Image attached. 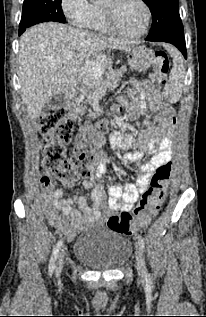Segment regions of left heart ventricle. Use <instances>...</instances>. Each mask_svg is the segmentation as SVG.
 Returning a JSON list of instances; mask_svg holds the SVG:
<instances>
[{"label":"left heart ventricle","mask_w":206,"mask_h":317,"mask_svg":"<svg viewBox=\"0 0 206 317\" xmlns=\"http://www.w3.org/2000/svg\"><path fill=\"white\" fill-rule=\"evenodd\" d=\"M114 18L121 31L134 34L143 29L146 14L137 0H118L114 3Z\"/></svg>","instance_id":"1"}]
</instances>
